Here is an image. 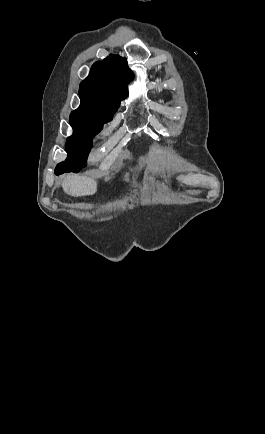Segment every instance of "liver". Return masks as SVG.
Segmentation results:
<instances>
[{
    "label": "liver",
    "mask_w": 265,
    "mask_h": 434,
    "mask_svg": "<svg viewBox=\"0 0 265 434\" xmlns=\"http://www.w3.org/2000/svg\"><path fill=\"white\" fill-rule=\"evenodd\" d=\"M63 192L68 196H93L97 192V182L86 176H78V174H67L61 184Z\"/></svg>",
    "instance_id": "1"
}]
</instances>
